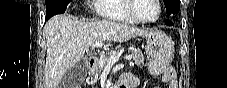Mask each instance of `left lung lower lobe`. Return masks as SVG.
I'll return each mask as SVG.
<instances>
[{
  "label": "left lung lower lobe",
  "instance_id": "0a47b994",
  "mask_svg": "<svg viewBox=\"0 0 227 88\" xmlns=\"http://www.w3.org/2000/svg\"><path fill=\"white\" fill-rule=\"evenodd\" d=\"M165 24L168 25V26L173 25V23H172L170 20H166V21H165Z\"/></svg>",
  "mask_w": 227,
  "mask_h": 88
}]
</instances>
